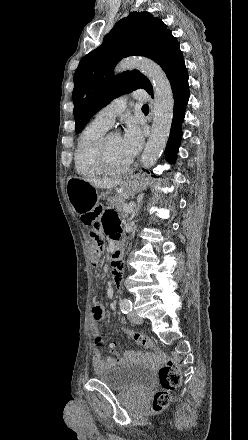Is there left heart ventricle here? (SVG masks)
Returning <instances> with one entry per match:
<instances>
[{
  "instance_id": "1",
  "label": "left heart ventricle",
  "mask_w": 248,
  "mask_h": 440,
  "mask_svg": "<svg viewBox=\"0 0 248 440\" xmlns=\"http://www.w3.org/2000/svg\"><path fill=\"white\" fill-rule=\"evenodd\" d=\"M108 155L112 166L121 168L131 161L126 157L121 148V137L117 134H111L108 138Z\"/></svg>"
}]
</instances>
